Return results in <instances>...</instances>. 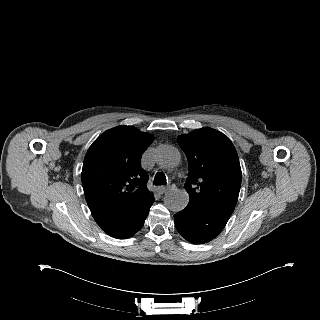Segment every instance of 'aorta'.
<instances>
[{
    "label": "aorta",
    "instance_id": "aorta-1",
    "mask_svg": "<svg viewBox=\"0 0 320 320\" xmlns=\"http://www.w3.org/2000/svg\"><path fill=\"white\" fill-rule=\"evenodd\" d=\"M180 152L171 145H161L155 153L157 164L164 169H173L180 163ZM189 202V195L184 190H171L164 196V204L173 211L179 212L183 210Z\"/></svg>",
    "mask_w": 320,
    "mask_h": 320
}]
</instances>
